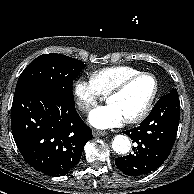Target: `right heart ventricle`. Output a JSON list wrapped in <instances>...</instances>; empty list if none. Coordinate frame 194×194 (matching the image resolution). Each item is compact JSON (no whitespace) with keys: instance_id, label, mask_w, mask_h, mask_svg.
Returning a JSON list of instances; mask_svg holds the SVG:
<instances>
[{"instance_id":"obj_1","label":"right heart ventricle","mask_w":194,"mask_h":194,"mask_svg":"<svg viewBox=\"0 0 194 194\" xmlns=\"http://www.w3.org/2000/svg\"><path fill=\"white\" fill-rule=\"evenodd\" d=\"M140 72L130 66H110L91 73L90 81L99 95L106 96L124 78Z\"/></svg>"}]
</instances>
